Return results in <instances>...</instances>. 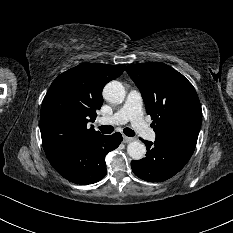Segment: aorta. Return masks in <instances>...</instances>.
I'll return each mask as SVG.
<instances>
[{
  "instance_id": "obj_1",
  "label": "aorta",
  "mask_w": 233,
  "mask_h": 233,
  "mask_svg": "<svg viewBox=\"0 0 233 233\" xmlns=\"http://www.w3.org/2000/svg\"><path fill=\"white\" fill-rule=\"evenodd\" d=\"M125 96L124 86L115 80L109 82L103 89V97L110 103H122ZM127 152L132 159L140 160L146 154V147L142 142L132 141L127 146Z\"/></svg>"
}]
</instances>
